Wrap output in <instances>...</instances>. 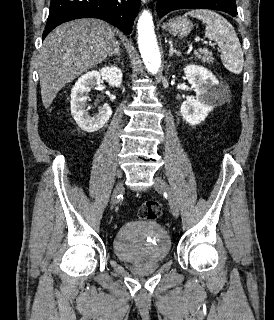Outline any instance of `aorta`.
Masks as SVG:
<instances>
[{"label": "aorta", "instance_id": "aorta-1", "mask_svg": "<svg viewBox=\"0 0 274 320\" xmlns=\"http://www.w3.org/2000/svg\"><path fill=\"white\" fill-rule=\"evenodd\" d=\"M138 45L141 57L149 72L156 74L161 65L152 16L149 11L144 10L137 23Z\"/></svg>", "mask_w": 274, "mask_h": 320}]
</instances>
